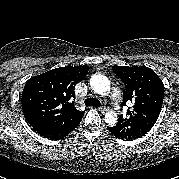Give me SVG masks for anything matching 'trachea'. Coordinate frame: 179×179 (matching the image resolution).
<instances>
[{
	"mask_svg": "<svg viewBox=\"0 0 179 179\" xmlns=\"http://www.w3.org/2000/svg\"><path fill=\"white\" fill-rule=\"evenodd\" d=\"M86 106L100 107L101 103L98 99L90 97L85 100Z\"/></svg>",
	"mask_w": 179,
	"mask_h": 179,
	"instance_id": "1",
	"label": "trachea"
}]
</instances>
